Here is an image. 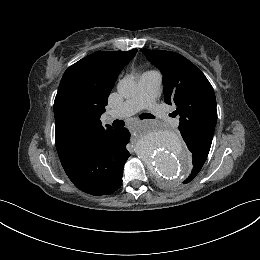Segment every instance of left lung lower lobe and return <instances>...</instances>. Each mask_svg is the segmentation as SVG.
Returning <instances> with one entry per match:
<instances>
[{"mask_svg": "<svg viewBox=\"0 0 260 260\" xmlns=\"http://www.w3.org/2000/svg\"><path fill=\"white\" fill-rule=\"evenodd\" d=\"M188 149L191 151L192 153V158H193V169L191 171V174L189 175V177L183 181V183H189L200 171L199 170V159H205L207 158L208 154H206L204 151H202L200 148H198L195 145H188Z\"/></svg>", "mask_w": 260, "mask_h": 260, "instance_id": "obj_1", "label": "left lung lower lobe"}]
</instances>
